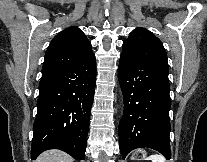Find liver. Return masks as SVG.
Wrapping results in <instances>:
<instances>
[{
	"instance_id": "1",
	"label": "liver",
	"mask_w": 207,
	"mask_h": 162,
	"mask_svg": "<svg viewBox=\"0 0 207 162\" xmlns=\"http://www.w3.org/2000/svg\"><path fill=\"white\" fill-rule=\"evenodd\" d=\"M35 162H74L73 158L67 153L52 149L43 152Z\"/></svg>"
}]
</instances>
